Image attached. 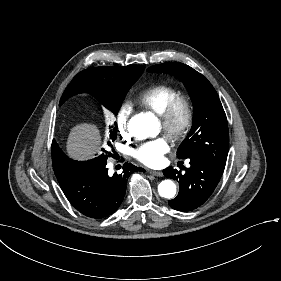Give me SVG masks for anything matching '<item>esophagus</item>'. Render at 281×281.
I'll return each instance as SVG.
<instances>
[{
  "mask_svg": "<svg viewBox=\"0 0 281 281\" xmlns=\"http://www.w3.org/2000/svg\"><path fill=\"white\" fill-rule=\"evenodd\" d=\"M149 173L154 176H159V177L163 176V173L161 171L149 170Z\"/></svg>",
  "mask_w": 281,
  "mask_h": 281,
  "instance_id": "esophagus-1",
  "label": "esophagus"
}]
</instances>
